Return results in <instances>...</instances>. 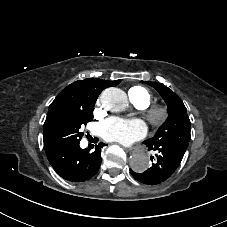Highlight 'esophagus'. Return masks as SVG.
<instances>
[{"label":"esophagus","mask_w":227,"mask_h":227,"mask_svg":"<svg viewBox=\"0 0 227 227\" xmlns=\"http://www.w3.org/2000/svg\"><path fill=\"white\" fill-rule=\"evenodd\" d=\"M146 152V147L145 146H135L130 148V153L131 154H136V153H145Z\"/></svg>","instance_id":"1"}]
</instances>
